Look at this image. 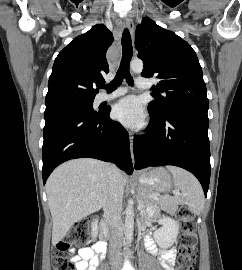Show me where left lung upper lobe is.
<instances>
[{
    "instance_id": "5c2ea615",
    "label": "left lung upper lobe",
    "mask_w": 242,
    "mask_h": 270,
    "mask_svg": "<svg viewBox=\"0 0 242 270\" xmlns=\"http://www.w3.org/2000/svg\"><path fill=\"white\" fill-rule=\"evenodd\" d=\"M135 44L138 56L144 62L141 75L159 79L155 88L157 99L148 105L153 115L163 117L189 108L208 110L202 68L195 51L186 41L144 18L137 26Z\"/></svg>"
}]
</instances>
